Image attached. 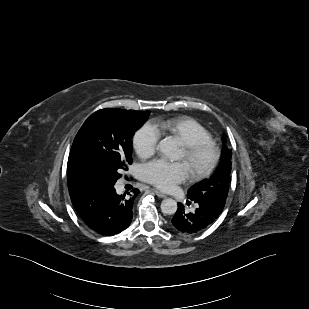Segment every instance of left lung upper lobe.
Returning a JSON list of instances; mask_svg holds the SVG:
<instances>
[{
  "instance_id": "left-lung-upper-lobe-1",
  "label": "left lung upper lobe",
  "mask_w": 309,
  "mask_h": 309,
  "mask_svg": "<svg viewBox=\"0 0 309 309\" xmlns=\"http://www.w3.org/2000/svg\"><path fill=\"white\" fill-rule=\"evenodd\" d=\"M231 157V150L224 145L218 170L210 179L193 185L188 191V198L224 207L231 182Z\"/></svg>"
}]
</instances>
